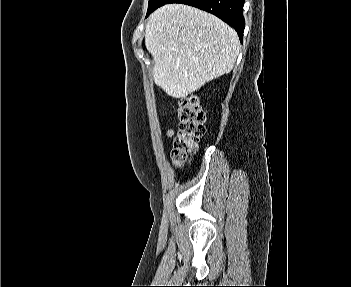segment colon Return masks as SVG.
Returning <instances> with one entry per match:
<instances>
[{
    "label": "colon",
    "mask_w": 351,
    "mask_h": 287,
    "mask_svg": "<svg viewBox=\"0 0 351 287\" xmlns=\"http://www.w3.org/2000/svg\"><path fill=\"white\" fill-rule=\"evenodd\" d=\"M179 128L174 139L172 157L177 167L188 163L205 133V115L196 96L182 99L178 108Z\"/></svg>",
    "instance_id": "obj_1"
}]
</instances>
